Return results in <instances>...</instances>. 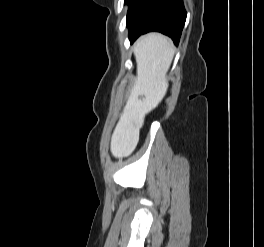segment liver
I'll return each mask as SVG.
<instances>
[{
	"instance_id": "obj_1",
	"label": "liver",
	"mask_w": 264,
	"mask_h": 247,
	"mask_svg": "<svg viewBox=\"0 0 264 247\" xmlns=\"http://www.w3.org/2000/svg\"><path fill=\"white\" fill-rule=\"evenodd\" d=\"M174 53L172 41L159 33H149L136 41L137 78L111 138L114 157L128 156L135 149L145 116L158 106L167 92L166 75Z\"/></svg>"
}]
</instances>
